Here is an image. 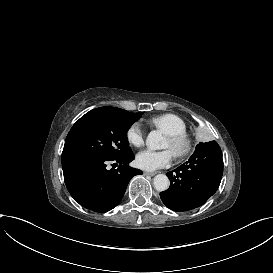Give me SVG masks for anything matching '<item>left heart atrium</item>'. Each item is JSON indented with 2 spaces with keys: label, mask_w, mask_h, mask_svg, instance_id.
Returning <instances> with one entry per match:
<instances>
[{
  "label": "left heart atrium",
  "mask_w": 273,
  "mask_h": 273,
  "mask_svg": "<svg viewBox=\"0 0 273 273\" xmlns=\"http://www.w3.org/2000/svg\"><path fill=\"white\" fill-rule=\"evenodd\" d=\"M173 157V150L170 147L162 150L145 148L137 154L136 164L142 170L154 171L169 166Z\"/></svg>",
  "instance_id": "left-heart-atrium-1"
}]
</instances>
